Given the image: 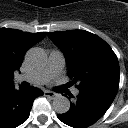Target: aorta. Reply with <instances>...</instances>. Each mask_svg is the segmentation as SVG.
Here are the masks:
<instances>
[{
    "label": "aorta",
    "instance_id": "aorta-1",
    "mask_svg": "<svg viewBox=\"0 0 128 128\" xmlns=\"http://www.w3.org/2000/svg\"><path fill=\"white\" fill-rule=\"evenodd\" d=\"M25 60L32 67H39L45 64L46 54L41 48H31L25 56ZM53 109L58 114L67 113L70 109V101L67 97L57 95L53 99Z\"/></svg>",
    "mask_w": 128,
    "mask_h": 128
}]
</instances>
